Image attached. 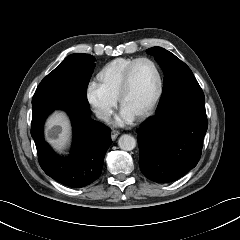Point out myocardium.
<instances>
[{
  "label": "myocardium",
  "instance_id": "obj_1",
  "mask_svg": "<svg viewBox=\"0 0 240 240\" xmlns=\"http://www.w3.org/2000/svg\"><path fill=\"white\" fill-rule=\"evenodd\" d=\"M140 62H149L153 66V68L156 72V75H157L158 85H157L156 94H155L151 104L142 113H140L136 117L138 120H142V119L147 118L148 116H150L155 111V109L157 108V106H158V104L161 100L163 90H164V80H163V75H162V72H161V69H160L159 65L153 59H151L149 57H139V58H136L127 67V69L124 72L120 92H119V95H118V98H117L119 105L122 107L123 101H124L125 97L127 96L128 92L130 90V80H131L132 71H133L134 67Z\"/></svg>",
  "mask_w": 240,
  "mask_h": 240
}]
</instances>
